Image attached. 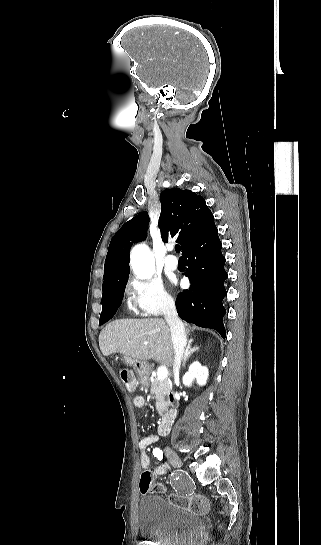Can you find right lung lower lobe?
Segmentation results:
<instances>
[{"label":"right lung lower lobe","mask_w":321,"mask_h":545,"mask_svg":"<svg viewBox=\"0 0 321 545\" xmlns=\"http://www.w3.org/2000/svg\"><path fill=\"white\" fill-rule=\"evenodd\" d=\"M215 224L199 239L189 245L184 253L188 266L184 275L191 282L189 290L179 293L176 299L178 315L183 320L200 327L215 329L225 338L223 325L225 308L222 304L227 295L224 281L225 257ZM123 295L111 296L105 304V319L113 317L121 304Z\"/></svg>","instance_id":"1"}]
</instances>
